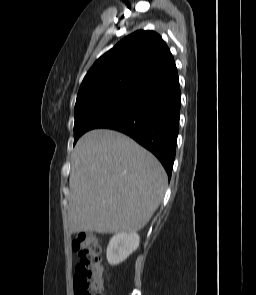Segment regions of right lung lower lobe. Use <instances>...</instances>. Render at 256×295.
I'll use <instances>...</instances> for the list:
<instances>
[{
  "mask_svg": "<svg viewBox=\"0 0 256 295\" xmlns=\"http://www.w3.org/2000/svg\"><path fill=\"white\" fill-rule=\"evenodd\" d=\"M181 93L173 62L136 92L133 101L99 128L120 131L151 151L171 177L178 136Z\"/></svg>",
  "mask_w": 256,
  "mask_h": 295,
  "instance_id": "right-lung-lower-lobe-1",
  "label": "right lung lower lobe"
}]
</instances>
